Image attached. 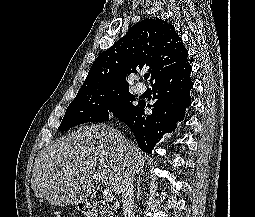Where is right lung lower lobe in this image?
Returning a JSON list of instances; mask_svg holds the SVG:
<instances>
[{"label":"right lung lower lobe","instance_id":"obj_1","mask_svg":"<svg viewBox=\"0 0 255 217\" xmlns=\"http://www.w3.org/2000/svg\"><path fill=\"white\" fill-rule=\"evenodd\" d=\"M191 70L186 59L172 71L154 80L153 99L156 102L152 105V114L146 115L145 109L149 105L139 101L130 113L119 117L133 132L142 151L151 153L163 134L174 130L176 122L183 119L185 109L191 103Z\"/></svg>","mask_w":255,"mask_h":217}]
</instances>
